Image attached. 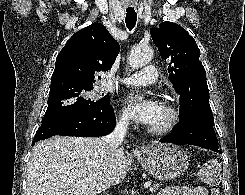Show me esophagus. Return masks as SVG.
Instances as JSON below:
<instances>
[{"mask_svg":"<svg viewBox=\"0 0 245 195\" xmlns=\"http://www.w3.org/2000/svg\"><path fill=\"white\" fill-rule=\"evenodd\" d=\"M133 152H134V154H138L140 152V149L138 147H136Z\"/></svg>","mask_w":245,"mask_h":195,"instance_id":"1","label":"esophagus"}]
</instances>
